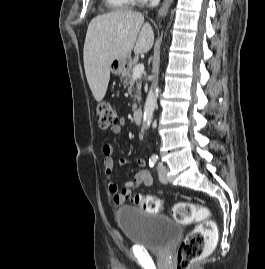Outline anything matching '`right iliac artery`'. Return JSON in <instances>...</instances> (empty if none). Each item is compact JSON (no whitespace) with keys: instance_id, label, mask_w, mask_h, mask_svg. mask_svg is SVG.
<instances>
[{"instance_id":"right-iliac-artery-1","label":"right iliac artery","mask_w":265,"mask_h":269,"mask_svg":"<svg viewBox=\"0 0 265 269\" xmlns=\"http://www.w3.org/2000/svg\"><path fill=\"white\" fill-rule=\"evenodd\" d=\"M158 157L157 156H151L149 159V166L153 167L157 162Z\"/></svg>"}]
</instances>
